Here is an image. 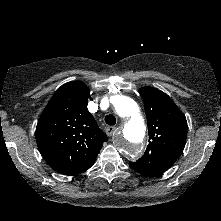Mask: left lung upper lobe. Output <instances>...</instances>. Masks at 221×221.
<instances>
[{
  "mask_svg": "<svg viewBox=\"0 0 221 221\" xmlns=\"http://www.w3.org/2000/svg\"><path fill=\"white\" fill-rule=\"evenodd\" d=\"M139 93L147 116L149 144L135 163L157 175L168 170L181 155L187 137V120L164 92L143 87Z\"/></svg>",
  "mask_w": 221,
  "mask_h": 221,
  "instance_id": "5c2ea615",
  "label": "left lung upper lobe"
}]
</instances>
